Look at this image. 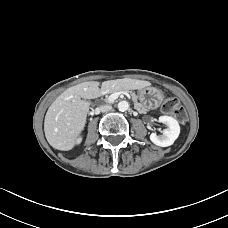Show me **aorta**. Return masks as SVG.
Segmentation results:
<instances>
[{"mask_svg":"<svg viewBox=\"0 0 228 228\" xmlns=\"http://www.w3.org/2000/svg\"><path fill=\"white\" fill-rule=\"evenodd\" d=\"M118 109L121 112H125L129 109V103L127 101H120L118 103Z\"/></svg>","mask_w":228,"mask_h":228,"instance_id":"762f6f07","label":"aorta"}]
</instances>
